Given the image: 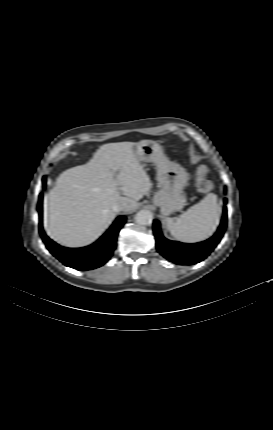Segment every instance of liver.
<instances>
[{
    "mask_svg": "<svg viewBox=\"0 0 273 430\" xmlns=\"http://www.w3.org/2000/svg\"><path fill=\"white\" fill-rule=\"evenodd\" d=\"M137 144H104L88 163L60 174L44 203V228L51 239L68 247L90 244L115 218V203L123 202L124 212L137 208L152 188L133 151Z\"/></svg>",
    "mask_w": 273,
    "mask_h": 430,
    "instance_id": "1",
    "label": "liver"
}]
</instances>
